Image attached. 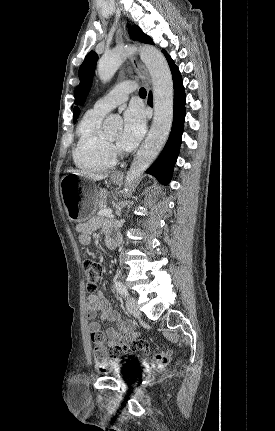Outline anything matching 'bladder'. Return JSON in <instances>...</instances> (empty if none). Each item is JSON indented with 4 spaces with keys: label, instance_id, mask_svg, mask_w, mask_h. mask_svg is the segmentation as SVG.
Listing matches in <instances>:
<instances>
[{
    "label": "bladder",
    "instance_id": "31cf9c89",
    "mask_svg": "<svg viewBox=\"0 0 275 431\" xmlns=\"http://www.w3.org/2000/svg\"><path fill=\"white\" fill-rule=\"evenodd\" d=\"M113 375L119 378H123L125 374L122 371H120V372H113Z\"/></svg>",
    "mask_w": 275,
    "mask_h": 431
}]
</instances>
